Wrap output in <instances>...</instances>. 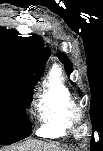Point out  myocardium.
<instances>
[{
	"instance_id": "myocardium-1",
	"label": "myocardium",
	"mask_w": 103,
	"mask_h": 151,
	"mask_svg": "<svg viewBox=\"0 0 103 151\" xmlns=\"http://www.w3.org/2000/svg\"><path fill=\"white\" fill-rule=\"evenodd\" d=\"M66 118L70 123L80 124L84 119V111L75 101L70 100L66 106Z\"/></svg>"
}]
</instances>
